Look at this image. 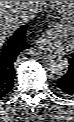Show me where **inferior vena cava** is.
Here are the masks:
<instances>
[{"mask_svg":"<svg viewBox=\"0 0 74 122\" xmlns=\"http://www.w3.org/2000/svg\"><path fill=\"white\" fill-rule=\"evenodd\" d=\"M39 3L35 2L32 7H25L20 15V23H27L30 19H32L37 12L39 11Z\"/></svg>","mask_w":74,"mask_h":122,"instance_id":"obj_1","label":"inferior vena cava"}]
</instances>
